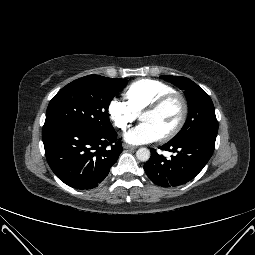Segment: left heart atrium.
Instances as JSON below:
<instances>
[{"mask_svg":"<svg viewBox=\"0 0 255 255\" xmlns=\"http://www.w3.org/2000/svg\"><path fill=\"white\" fill-rule=\"evenodd\" d=\"M160 138L156 130L148 123L142 122L124 135V139L131 144H146Z\"/></svg>","mask_w":255,"mask_h":255,"instance_id":"1","label":"left heart atrium"}]
</instances>
